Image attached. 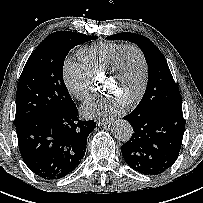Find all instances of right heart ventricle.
Instances as JSON below:
<instances>
[{"label":"right heart ventricle","mask_w":203,"mask_h":203,"mask_svg":"<svg viewBox=\"0 0 203 203\" xmlns=\"http://www.w3.org/2000/svg\"><path fill=\"white\" fill-rule=\"evenodd\" d=\"M123 43L97 42L84 46L78 51V57L94 78L100 75L115 54L124 46Z\"/></svg>","instance_id":"obj_1"}]
</instances>
